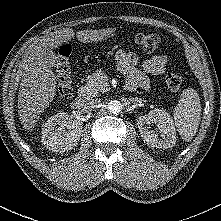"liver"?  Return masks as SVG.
I'll return each mask as SVG.
<instances>
[{
  "label": "liver",
  "mask_w": 221,
  "mask_h": 221,
  "mask_svg": "<svg viewBox=\"0 0 221 221\" xmlns=\"http://www.w3.org/2000/svg\"><path fill=\"white\" fill-rule=\"evenodd\" d=\"M115 29L83 30L76 33L82 43L102 41ZM73 29L66 28L44 36L26 55L21 64L23 76L18 93V114L26 131H33L44 112L56 95V76L52 68L58 59L53 49L74 38Z\"/></svg>",
  "instance_id": "obj_1"
}]
</instances>
